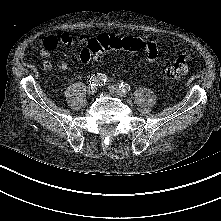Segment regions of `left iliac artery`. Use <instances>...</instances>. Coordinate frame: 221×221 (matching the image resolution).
I'll return each instance as SVG.
<instances>
[{"instance_id":"left-iliac-artery-1","label":"left iliac artery","mask_w":221,"mask_h":221,"mask_svg":"<svg viewBox=\"0 0 221 221\" xmlns=\"http://www.w3.org/2000/svg\"><path fill=\"white\" fill-rule=\"evenodd\" d=\"M120 88H122L123 92L130 91V85L128 83H121Z\"/></svg>"}]
</instances>
